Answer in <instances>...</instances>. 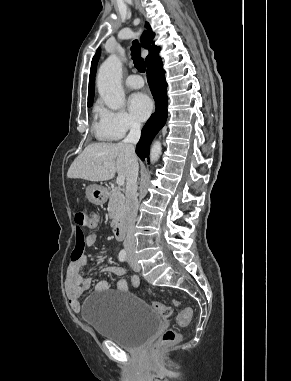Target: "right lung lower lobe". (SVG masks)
<instances>
[{
    "instance_id": "98d812e1",
    "label": "right lung lower lobe",
    "mask_w": 291,
    "mask_h": 381,
    "mask_svg": "<svg viewBox=\"0 0 291 381\" xmlns=\"http://www.w3.org/2000/svg\"><path fill=\"white\" fill-rule=\"evenodd\" d=\"M147 79L156 104V112L151 115L142 129L136 153L141 160L149 157L150 144L167 119V83L161 58L147 66Z\"/></svg>"
}]
</instances>
